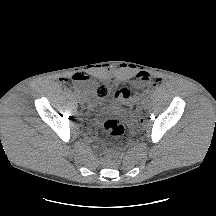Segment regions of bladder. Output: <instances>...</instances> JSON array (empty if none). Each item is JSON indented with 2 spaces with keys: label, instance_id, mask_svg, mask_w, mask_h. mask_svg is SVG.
Wrapping results in <instances>:
<instances>
[{
  "label": "bladder",
  "instance_id": "1",
  "mask_svg": "<svg viewBox=\"0 0 216 216\" xmlns=\"http://www.w3.org/2000/svg\"><path fill=\"white\" fill-rule=\"evenodd\" d=\"M108 110L114 113L122 112L123 108L121 102L119 100L112 101L108 106Z\"/></svg>",
  "mask_w": 216,
  "mask_h": 216
}]
</instances>
